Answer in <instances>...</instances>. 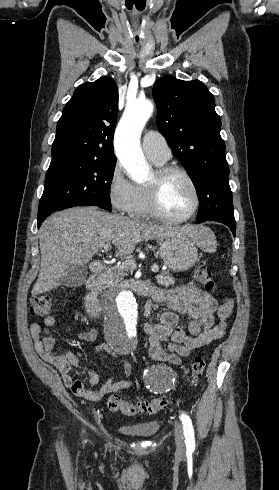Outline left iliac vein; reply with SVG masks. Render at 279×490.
<instances>
[{"instance_id": "obj_1", "label": "left iliac vein", "mask_w": 279, "mask_h": 490, "mask_svg": "<svg viewBox=\"0 0 279 490\" xmlns=\"http://www.w3.org/2000/svg\"><path fill=\"white\" fill-rule=\"evenodd\" d=\"M175 442L178 453L185 452L183 428L179 422L174 423Z\"/></svg>"}]
</instances>
